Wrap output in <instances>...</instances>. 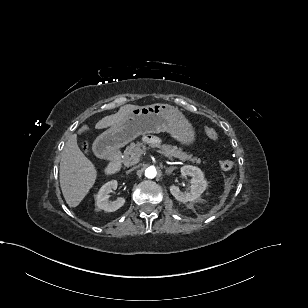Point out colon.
Returning <instances> with one entry per match:
<instances>
[{
  "label": "colon",
  "mask_w": 308,
  "mask_h": 308,
  "mask_svg": "<svg viewBox=\"0 0 308 308\" xmlns=\"http://www.w3.org/2000/svg\"><path fill=\"white\" fill-rule=\"evenodd\" d=\"M205 133H206L207 137H208L209 139H211V140L216 141V140L219 139L218 133H217L216 130H214L213 128L207 127V128L205 129ZM85 146H86V145H85ZM233 165H234V163H233V161L230 160V159H222V160L219 161V166H220V168H221L222 170H225V171H226V170L232 169Z\"/></svg>",
  "instance_id": "obj_1"
}]
</instances>
